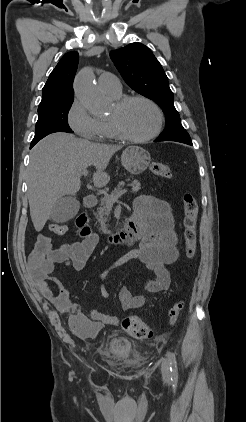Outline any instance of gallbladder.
I'll return each instance as SVG.
<instances>
[{
	"instance_id": "obj_1",
	"label": "gallbladder",
	"mask_w": 246,
	"mask_h": 422,
	"mask_svg": "<svg viewBox=\"0 0 246 422\" xmlns=\"http://www.w3.org/2000/svg\"><path fill=\"white\" fill-rule=\"evenodd\" d=\"M80 208L79 201L73 196H65L58 199L50 219L56 223H64L76 216Z\"/></svg>"
}]
</instances>
